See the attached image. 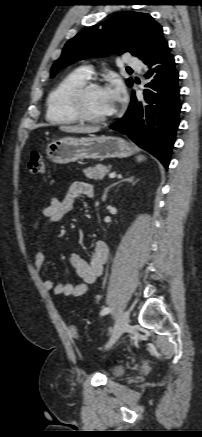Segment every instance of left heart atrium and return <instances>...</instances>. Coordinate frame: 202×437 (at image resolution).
<instances>
[{
    "label": "left heart atrium",
    "mask_w": 202,
    "mask_h": 437,
    "mask_svg": "<svg viewBox=\"0 0 202 437\" xmlns=\"http://www.w3.org/2000/svg\"><path fill=\"white\" fill-rule=\"evenodd\" d=\"M106 90L116 103L120 102L124 94V88L120 82H113Z\"/></svg>",
    "instance_id": "left-heart-atrium-1"
}]
</instances>
